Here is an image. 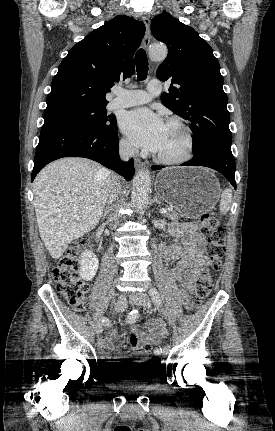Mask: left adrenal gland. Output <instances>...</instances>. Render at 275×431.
<instances>
[{"label": "left adrenal gland", "mask_w": 275, "mask_h": 431, "mask_svg": "<svg viewBox=\"0 0 275 431\" xmlns=\"http://www.w3.org/2000/svg\"><path fill=\"white\" fill-rule=\"evenodd\" d=\"M153 202L159 204V206L161 205L160 201L157 199V195L154 196Z\"/></svg>", "instance_id": "1"}]
</instances>
